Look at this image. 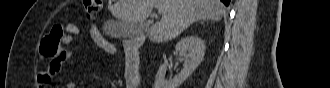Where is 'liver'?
<instances>
[{"label":"liver","instance_id":"1","mask_svg":"<svg viewBox=\"0 0 330 88\" xmlns=\"http://www.w3.org/2000/svg\"><path fill=\"white\" fill-rule=\"evenodd\" d=\"M153 7L162 11V18L145 32L155 43L174 39L195 21H220L225 14L220 0H116L110 11L121 22L138 25L150 15ZM111 22L114 21L107 24Z\"/></svg>","mask_w":330,"mask_h":88}]
</instances>
